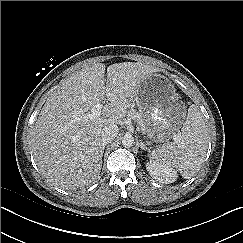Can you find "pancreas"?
I'll return each instance as SVG.
<instances>
[{
	"instance_id": "cf45deb5",
	"label": "pancreas",
	"mask_w": 243,
	"mask_h": 243,
	"mask_svg": "<svg viewBox=\"0 0 243 243\" xmlns=\"http://www.w3.org/2000/svg\"><path fill=\"white\" fill-rule=\"evenodd\" d=\"M128 115L130 117H132L139 124V126H140V128H141V130L143 132L146 131V122H145L144 118L142 117V115L139 112H137L134 109H131L129 111Z\"/></svg>"
}]
</instances>
